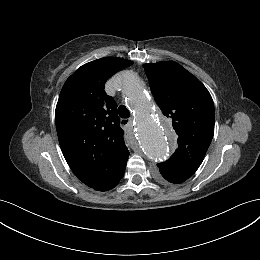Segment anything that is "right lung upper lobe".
I'll list each match as a JSON object with an SVG mask.
<instances>
[{
  "mask_svg": "<svg viewBox=\"0 0 260 260\" xmlns=\"http://www.w3.org/2000/svg\"><path fill=\"white\" fill-rule=\"evenodd\" d=\"M132 64L112 57L86 63L66 80L58 99L55 121L63 155L77 178L91 188L112 183L125 172L130 153L117 104L104 85Z\"/></svg>",
  "mask_w": 260,
  "mask_h": 260,
  "instance_id": "1",
  "label": "right lung upper lobe"
}]
</instances>
